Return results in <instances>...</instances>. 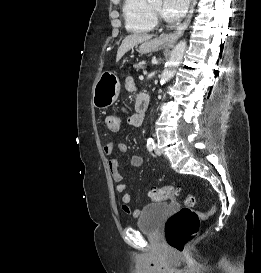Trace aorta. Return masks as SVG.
I'll return each mask as SVG.
<instances>
[{
	"label": "aorta",
	"mask_w": 261,
	"mask_h": 273,
	"mask_svg": "<svg viewBox=\"0 0 261 273\" xmlns=\"http://www.w3.org/2000/svg\"><path fill=\"white\" fill-rule=\"evenodd\" d=\"M186 41H180L173 49L164 71L161 75L160 83H166L175 73L176 68L181 64L186 50Z\"/></svg>",
	"instance_id": "762f6f07"
}]
</instances>
